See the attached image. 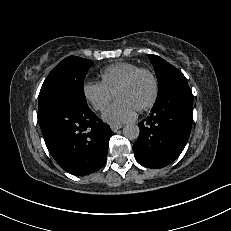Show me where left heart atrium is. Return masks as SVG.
Wrapping results in <instances>:
<instances>
[{"instance_id": "39dd6f15", "label": "left heart atrium", "mask_w": 231, "mask_h": 231, "mask_svg": "<svg viewBox=\"0 0 231 231\" xmlns=\"http://www.w3.org/2000/svg\"><path fill=\"white\" fill-rule=\"evenodd\" d=\"M135 115L136 109L131 104L123 99H117L107 108L103 114V118L113 125H118L132 120Z\"/></svg>"}]
</instances>
